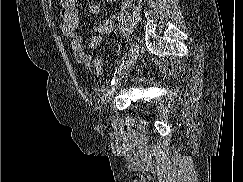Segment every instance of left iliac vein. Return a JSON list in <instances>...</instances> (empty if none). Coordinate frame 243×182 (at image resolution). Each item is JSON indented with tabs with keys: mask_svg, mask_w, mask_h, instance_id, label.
<instances>
[{
	"mask_svg": "<svg viewBox=\"0 0 243 182\" xmlns=\"http://www.w3.org/2000/svg\"><path fill=\"white\" fill-rule=\"evenodd\" d=\"M139 50H140V47H139V44L134 42L131 47H130V51H129V54H128V58L126 60V63L124 65V67L122 68L121 72L119 73V75L117 76L116 78V81L115 83L111 86V88L108 90L107 94H106V102H110L112 96L114 95L115 93V90L118 86V84L128 76L132 66L134 65V62L135 60L137 59L138 57V54H139Z\"/></svg>",
	"mask_w": 243,
	"mask_h": 182,
	"instance_id": "left-iliac-vein-1",
	"label": "left iliac vein"
}]
</instances>
